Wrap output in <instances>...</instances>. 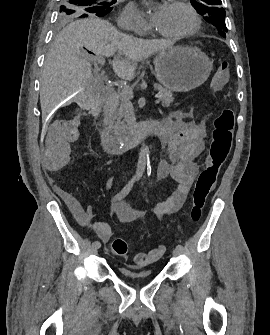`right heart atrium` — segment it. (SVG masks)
Returning <instances> with one entry per match:
<instances>
[{
    "label": "right heart atrium",
    "instance_id": "right-heart-atrium-1",
    "mask_svg": "<svg viewBox=\"0 0 270 335\" xmlns=\"http://www.w3.org/2000/svg\"><path fill=\"white\" fill-rule=\"evenodd\" d=\"M117 23L118 25H134V31L137 35H146L149 32L147 22L133 3H129L121 11Z\"/></svg>",
    "mask_w": 270,
    "mask_h": 335
}]
</instances>
